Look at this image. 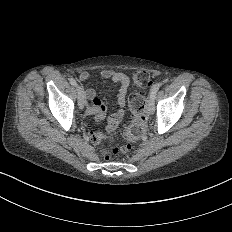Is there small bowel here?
<instances>
[{"instance_id": "1", "label": "small bowel", "mask_w": 232, "mask_h": 232, "mask_svg": "<svg viewBox=\"0 0 232 232\" xmlns=\"http://www.w3.org/2000/svg\"><path fill=\"white\" fill-rule=\"evenodd\" d=\"M99 78L102 81H112L120 85L118 103L119 106L122 107L124 105L125 96L130 83L128 76L123 72H116L111 69H103L99 72ZM78 80L81 83L87 82L89 80L88 73L84 70H80L78 72ZM80 94L82 99L87 102V105L85 108V116L76 128L77 136L84 141H91L95 144H98L101 141H103L106 138V136L101 132L87 134L85 132L86 120L91 116H95L97 119L106 118L108 115L107 109L102 104H100L99 99L96 98L95 90L93 88H83L81 89ZM123 116L124 113L120 110L111 114L108 117V131L115 130L117 123L123 118Z\"/></svg>"}]
</instances>
